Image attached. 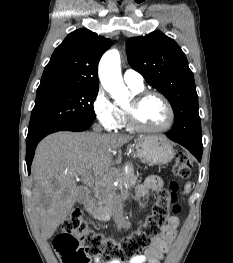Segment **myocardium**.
<instances>
[{"label":"myocardium","instance_id":"f54148a6","mask_svg":"<svg viewBox=\"0 0 233 263\" xmlns=\"http://www.w3.org/2000/svg\"><path fill=\"white\" fill-rule=\"evenodd\" d=\"M149 96H156L158 97L165 105L167 112H168V120L167 122L160 126V127H147L139 123L137 119V110L142 103V101L149 97ZM124 114L126 118V123L128 127L132 130L138 132H149V133H158L164 132L172 127L175 121V112L173 109L172 104L168 100V98L162 94L161 92L155 90H142L135 94H132V98L129 104L124 109Z\"/></svg>","mask_w":233,"mask_h":263}]
</instances>
